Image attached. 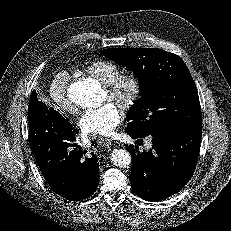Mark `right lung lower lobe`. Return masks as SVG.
I'll return each instance as SVG.
<instances>
[{
  "mask_svg": "<svg viewBox=\"0 0 231 231\" xmlns=\"http://www.w3.org/2000/svg\"><path fill=\"white\" fill-rule=\"evenodd\" d=\"M29 107V146L51 189L70 201L91 195L100 178L96 155L74 143L77 130L65 116L38 101L35 91Z\"/></svg>",
  "mask_w": 231,
  "mask_h": 231,
  "instance_id": "98d812e1",
  "label": "right lung lower lobe"
}]
</instances>
